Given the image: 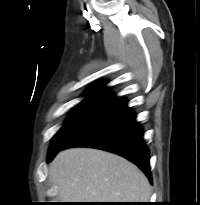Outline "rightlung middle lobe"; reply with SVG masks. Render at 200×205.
Wrapping results in <instances>:
<instances>
[{"label":"right lung middle lobe","mask_w":200,"mask_h":205,"mask_svg":"<svg viewBox=\"0 0 200 205\" xmlns=\"http://www.w3.org/2000/svg\"><path fill=\"white\" fill-rule=\"evenodd\" d=\"M115 102L82 101L79 103L65 125L53 137L49 153L65 145L79 132L107 112Z\"/></svg>","instance_id":"1"}]
</instances>
